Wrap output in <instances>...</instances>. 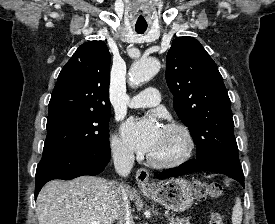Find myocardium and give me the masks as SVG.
<instances>
[{
	"mask_svg": "<svg viewBox=\"0 0 275 224\" xmlns=\"http://www.w3.org/2000/svg\"><path fill=\"white\" fill-rule=\"evenodd\" d=\"M164 129L177 132L181 136L184 144L183 150L178 156L165 160L155 159L149 155L147 157V161L151 166L157 168H171L179 166L189 159L194 150L195 143L193 135L185 124L177 121L167 123L164 126Z\"/></svg>",
	"mask_w": 275,
	"mask_h": 224,
	"instance_id": "myocardium-1",
	"label": "myocardium"
}]
</instances>
